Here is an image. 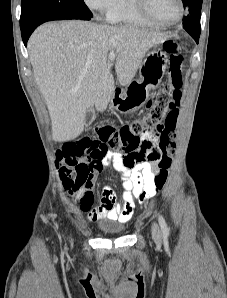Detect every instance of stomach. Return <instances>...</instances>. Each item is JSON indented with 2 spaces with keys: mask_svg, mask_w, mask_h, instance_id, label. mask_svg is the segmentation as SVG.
<instances>
[{
  "mask_svg": "<svg viewBox=\"0 0 227 298\" xmlns=\"http://www.w3.org/2000/svg\"><path fill=\"white\" fill-rule=\"evenodd\" d=\"M167 67V57L160 49L150 51L139 67V78L124 89L117 88L110 99V106L121 114L139 110L148 100L149 93L162 81Z\"/></svg>",
  "mask_w": 227,
  "mask_h": 298,
  "instance_id": "0dacf381",
  "label": "stomach"
}]
</instances>
